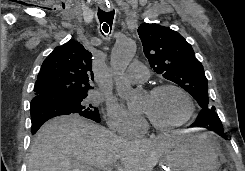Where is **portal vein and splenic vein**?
<instances>
[{"label": "portal vein and splenic vein", "instance_id": "portal-vein-and-splenic-vein-1", "mask_svg": "<svg viewBox=\"0 0 245 171\" xmlns=\"http://www.w3.org/2000/svg\"><path fill=\"white\" fill-rule=\"evenodd\" d=\"M99 169V168H98ZM98 169H93V170H91V171H99ZM104 169V171H111V168L110 167H105V168H103Z\"/></svg>", "mask_w": 245, "mask_h": 171}]
</instances>
